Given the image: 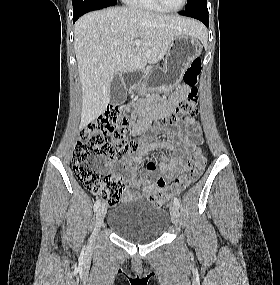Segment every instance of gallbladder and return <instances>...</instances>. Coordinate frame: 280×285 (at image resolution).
Segmentation results:
<instances>
[{
  "mask_svg": "<svg viewBox=\"0 0 280 285\" xmlns=\"http://www.w3.org/2000/svg\"><path fill=\"white\" fill-rule=\"evenodd\" d=\"M127 97L124 83L120 76L116 74L111 82L110 87V103L113 105L122 104Z\"/></svg>",
  "mask_w": 280,
  "mask_h": 285,
  "instance_id": "bac80fb5",
  "label": "gallbladder"
}]
</instances>
